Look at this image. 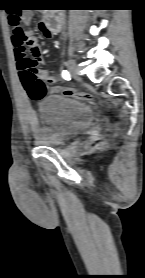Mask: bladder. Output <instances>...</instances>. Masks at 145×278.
<instances>
[{"instance_id":"bladder-1","label":"bladder","mask_w":145,"mask_h":278,"mask_svg":"<svg viewBox=\"0 0 145 278\" xmlns=\"http://www.w3.org/2000/svg\"><path fill=\"white\" fill-rule=\"evenodd\" d=\"M42 126L34 134V142L59 147L82 133L94 121V112L85 101L62 94H51L40 103Z\"/></svg>"}]
</instances>
